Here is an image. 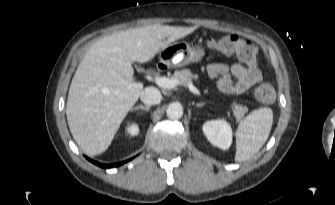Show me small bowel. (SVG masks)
Returning <instances> with one entry per match:
<instances>
[{"label": "small bowel", "mask_w": 335, "mask_h": 205, "mask_svg": "<svg viewBox=\"0 0 335 205\" xmlns=\"http://www.w3.org/2000/svg\"><path fill=\"white\" fill-rule=\"evenodd\" d=\"M208 75L218 79V89L226 94L239 95L262 80V73L256 67H245L240 63L228 66L214 62L207 66Z\"/></svg>", "instance_id": "1"}]
</instances>
